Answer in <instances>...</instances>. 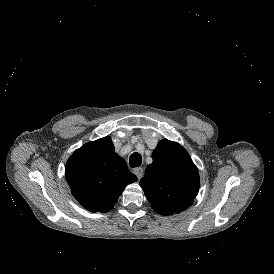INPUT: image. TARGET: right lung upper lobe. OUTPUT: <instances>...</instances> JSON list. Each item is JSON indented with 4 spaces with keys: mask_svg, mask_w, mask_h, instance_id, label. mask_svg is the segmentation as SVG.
<instances>
[{
    "mask_svg": "<svg viewBox=\"0 0 274 274\" xmlns=\"http://www.w3.org/2000/svg\"><path fill=\"white\" fill-rule=\"evenodd\" d=\"M65 176L76 200L91 212H108L125 187L137 181L110 137L85 144L69 158Z\"/></svg>",
    "mask_w": 274,
    "mask_h": 274,
    "instance_id": "cb5924a9",
    "label": "right lung upper lobe"
}]
</instances>
